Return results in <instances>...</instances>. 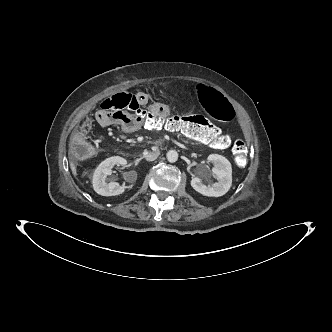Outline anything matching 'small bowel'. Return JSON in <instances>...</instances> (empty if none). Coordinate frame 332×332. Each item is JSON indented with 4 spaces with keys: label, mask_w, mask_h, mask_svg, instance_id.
Here are the masks:
<instances>
[{
    "label": "small bowel",
    "mask_w": 332,
    "mask_h": 332,
    "mask_svg": "<svg viewBox=\"0 0 332 332\" xmlns=\"http://www.w3.org/2000/svg\"><path fill=\"white\" fill-rule=\"evenodd\" d=\"M136 96L138 106L142 107L144 111L163 119L169 116L170 106L168 104L161 102L150 103V97L145 92H138ZM95 118L103 126H120L126 133H137L142 129H146L141 126V117L129 110H117L113 113L110 109H99L95 113Z\"/></svg>",
    "instance_id": "obj_1"
}]
</instances>
